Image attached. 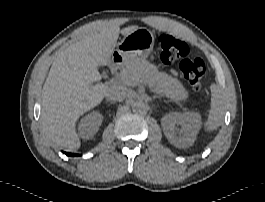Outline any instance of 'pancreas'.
<instances>
[{
    "mask_svg": "<svg viewBox=\"0 0 265 202\" xmlns=\"http://www.w3.org/2000/svg\"><path fill=\"white\" fill-rule=\"evenodd\" d=\"M122 82L128 86H135L147 82L157 93L178 102L188 98V92L181 82L158 69L145 60H130L120 71Z\"/></svg>",
    "mask_w": 265,
    "mask_h": 202,
    "instance_id": "obj_1",
    "label": "pancreas"
}]
</instances>
